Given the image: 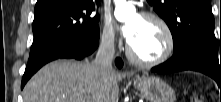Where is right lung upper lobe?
<instances>
[{
    "label": "right lung upper lobe",
    "mask_w": 221,
    "mask_h": 102,
    "mask_svg": "<svg viewBox=\"0 0 221 102\" xmlns=\"http://www.w3.org/2000/svg\"><path fill=\"white\" fill-rule=\"evenodd\" d=\"M45 1H47V0H38L36 4L43 3ZM88 1H92V0H88ZM97 2H99V0H97Z\"/></svg>",
    "instance_id": "cb5924a9"
}]
</instances>
